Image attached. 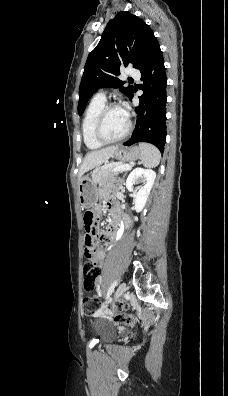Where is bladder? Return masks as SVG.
Masks as SVG:
<instances>
[{
  "instance_id": "1",
  "label": "bladder",
  "mask_w": 228,
  "mask_h": 396,
  "mask_svg": "<svg viewBox=\"0 0 228 396\" xmlns=\"http://www.w3.org/2000/svg\"><path fill=\"white\" fill-rule=\"evenodd\" d=\"M94 334L100 341H109L115 338L116 329L112 325L103 324L99 320H95L91 324Z\"/></svg>"
}]
</instances>
